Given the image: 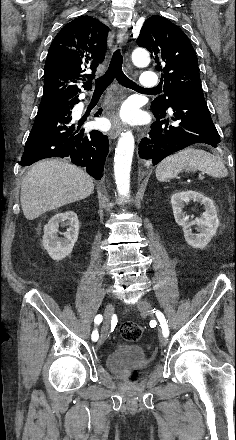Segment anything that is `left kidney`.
<instances>
[{"label": "left kidney", "mask_w": 236, "mask_h": 440, "mask_svg": "<svg viewBox=\"0 0 236 440\" xmlns=\"http://www.w3.org/2000/svg\"><path fill=\"white\" fill-rule=\"evenodd\" d=\"M190 201L204 205L205 212L201 217L189 222V216L184 212V207ZM171 204L175 221L182 226L186 242L193 248H204L216 235L219 219L214 202L201 193L195 191H182L174 193ZM195 225L198 233L193 234L191 227Z\"/></svg>", "instance_id": "left-kidney-1"}]
</instances>
